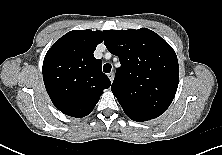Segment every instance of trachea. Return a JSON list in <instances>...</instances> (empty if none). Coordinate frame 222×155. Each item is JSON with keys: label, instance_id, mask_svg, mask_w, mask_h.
<instances>
[{"label": "trachea", "instance_id": "obj_1", "mask_svg": "<svg viewBox=\"0 0 222 155\" xmlns=\"http://www.w3.org/2000/svg\"><path fill=\"white\" fill-rule=\"evenodd\" d=\"M111 68H112L111 64L106 63V64H104V66H103V71H104L105 73H109V72L111 71Z\"/></svg>", "mask_w": 222, "mask_h": 155}]
</instances>
